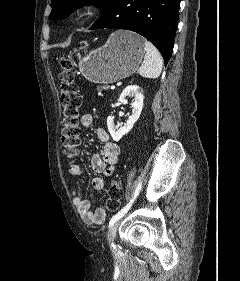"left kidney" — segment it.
<instances>
[{"label":"left kidney","instance_id":"left-kidney-1","mask_svg":"<svg viewBox=\"0 0 240 281\" xmlns=\"http://www.w3.org/2000/svg\"><path fill=\"white\" fill-rule=\"evenodd\" d=\"M134 97V102L131 103L132 114L129 116L127 122L124 126L118 128L114 124V118L109 116L107 118L108 130L114 141L118 142L124 135H126L133 128L135 122L139 119L142 108H143V99L142 90L137 85L127 86L119 97L121 103H127L126 97Z\"/></svg>","mask_w":240,"mask_h":281}]
</instances>
